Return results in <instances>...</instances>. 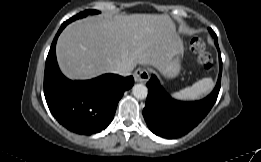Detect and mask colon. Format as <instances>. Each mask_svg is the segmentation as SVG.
I'll return each mask as SVG.
<instances>
[{"label": "colon", "instance_id": "colon-1", "mask_svg": "<svg viewBox=\"0 0 261 162\" xmlns=\"http://www.w3.org/2000/svg\"><path fill=\"white\" fill-rule=\"evenodd\" d=\"M191 49L197 54L199 63L205 70H210L213 66V59L208 52L205 42L200 38H193Z\"/></svg>", "mask_w": 261, "mask_h": 162}]
</instances>
